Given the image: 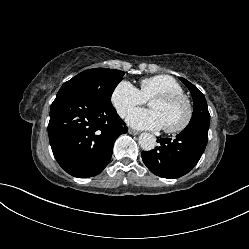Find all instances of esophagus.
I'll return each instance as SVG.
<instances>
[{
  "instance_id": "1",
  "label": "esophagus",
  "mask_w": 249,
  "mask_h": 249,
  "mask_svg": "<svg viewBox=\"0 0 249 249\" xmlns=\"http://www.w3.org/2000/svg\"><path fill=\"white\" fill-rule=\"evenodd\" d=\"M128 133L131 134V135H138L139 134L138 131H135V130H132V129H129Z\"/></svg>"
}]
</instances>
